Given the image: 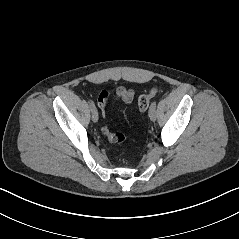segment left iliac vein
<instances>
[{
  "mask_svg": "<svg viewBox=\"0 0 239 239\" xmlns=\"http://www.w3.org/2000/svg\"><path fill=\"white\" fill-rule=\"evenodd\" d=\"M149 117L151 119V121H155L157 118V113H156V108L153 110H149Z\"/></svg>",
  "mask_w": 239,
  "mask_h": 239,
  "instance_id": "1",
  "label": "left iliac vein"
}]
</instances>
